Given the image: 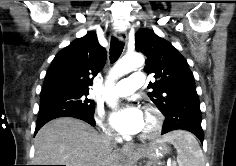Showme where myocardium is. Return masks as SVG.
Instances as JSON below:
<instances>
[{
    "label": "myocardium",
    "mask_w": 236,
    "mask_h": 166,
    "mask_svg": "<svg viewBox=\"0 0 236 166\" xmlns=\"http://www.w3.org/2000/svg\"><path fill=\"white\" fill-rule=\"evenodd\" d=\"M145 114L151 119L152 126L139 135L142 140H151L159 135L163 125V115L159 109L154 106H145Z\"/></svg>",
    "instance_id": "obj_1"
}]
</instances>
